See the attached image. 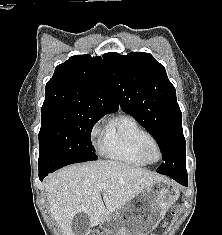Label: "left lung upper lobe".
<instances>
[{"instance_id": "5c2ea615", "label": "left lung upper lobe", "mask_w": 222, "mask_h": 235, "mask_svg": "<svg viewBox=\"0 0 222 235\" xmlns=\"http://www.w3.org/2000/svg\"><path fill=\"white\" fill-rule=\"evenodd\" d=\"M103 58L122 110L146 128L161 148L163 163L157 172L187 176L182 113L164 66L143 52L126 56L112 52Z\"/></svg>"}]
</instances>
